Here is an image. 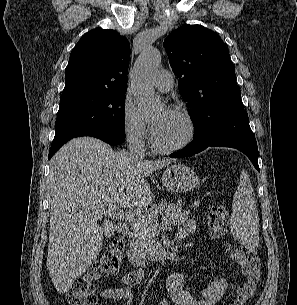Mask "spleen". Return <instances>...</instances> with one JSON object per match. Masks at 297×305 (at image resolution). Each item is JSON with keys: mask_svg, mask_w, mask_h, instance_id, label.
<instances>
[{"mask_svg": "<svg viewBox=\"0 0 297 305\" xmlns=\"http://www.w3.org/2000/svg\"><path fill=\"white\" fill-rule=\"evenodd\" d=\"M232 234L249 249L259 244V219L253 188L248 173L242 170L240 182L233 197L229 220Z\"/></svg>", "mask_w": 297, "mask_h": 305, "instance_id": "3e777b00", "label": "spleen"}]
</instances>
